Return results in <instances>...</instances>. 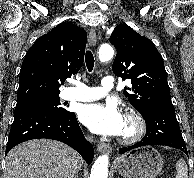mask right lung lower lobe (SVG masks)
Returning a JSON list of instances; mask_svg holds the SVG:
<instances>
[{"label": "right lung lower lobe", "mask_w": 194, "mask_h": 178, "mask_svg": "<svg viewBox=\"0 0 194 178\" xmlns=\"http://www.w3.org/2000/svg\"><path fill=\"white\" fill-rule=\"evenodd\" d=\"M39 138L54 139L66 143L78 151L88 164L93 160V147L85 140L73 112L66 110L59 113L45 108L15 110L6 154L19 143Z\"/></svg>", "instance_id": "98d812e1"}]
</instances>
